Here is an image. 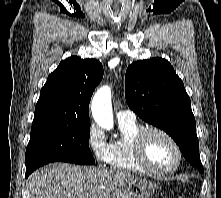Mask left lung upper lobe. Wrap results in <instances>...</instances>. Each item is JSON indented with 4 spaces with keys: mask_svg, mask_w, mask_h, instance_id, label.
<instances>
[{
    "mask_svg": "<svg viewBox=\"0 0 221 198\" xmlns=\"http://www.w3.org/2000/svg\"><path fill=\"white\" fill-rule=\"evenodd\" d=\"M125 97L140 118L169 134L186 160L204 172L191 101L167 60L152 58L132 63L125 75Z\"/></svg>",
    "mask_w": 221,
    "mask_h": 198,
    "instance_id": "1",
    "label": "left lung upper lobe"
}]
</instances>
